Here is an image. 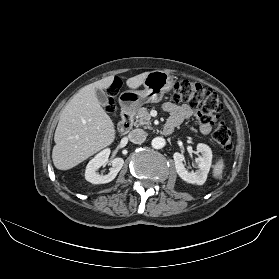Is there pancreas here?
I'll use <instances>...</instances> for the list:
<instances>
[{
	"label": "pancreas",
	"mask_w": 279,
	"mask_h": 279,
	"mask_svg": "<svg viewBox=\"0 0 279 279\" xmlns=\"http://www.w3.org/2000/svg\"><path fill=\"white\" fill-rule=\"evenodd\" d=\"M135 125L144 126L145 128H150L151 124V116L147 110V108H140L137 112Z\"/></svg>",
	"instance_id": "1"
}]
</instances>
